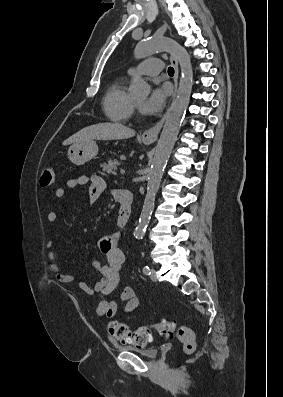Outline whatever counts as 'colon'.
I'll use <instances>...</instances> for the list:
<instances>
[{
  "mask_svg": "<svg viewBox=\"0 0 283 397\" xmlns=\"http://www.w3.org/2000/svg\"><path fill=\"white\" fill-rule=\"evenodd\" d=\"M55 183V171L52 167H46L40 175V185L50 187ZM176 325L172 319H164L152 326L139 327L130 329L126 324L118 321H112L108 325L110 335L123 343L131 344L135 347L142 348L154 340L157 335L163 338H172L175 334ZM177 337L183 343V350L191 353L195 349V335L187 326H181L176 331Z\"/></svg>",
  "mask_w": 283,
  "mask_h": 397,
  "instance_id": "1",
  "label": "colon"
}]
</instances>
